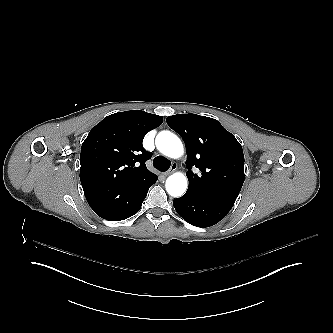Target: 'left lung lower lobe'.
I'll return each instance as SVG.
<instances>
[{
  "label": "left lung lower lobe",
  "instance_id": "0a47b994",
  "mask_svg": "<svg viewBox=\"0 0 333 333\" xmlns=\"http://www.w3.org/2000/svg\"><path fill=\"white\" fill-rule=\"evenodd\" d=\"M173 204L177 213L196 227H209L218 223L233 206L229 203L197 198L186 193L174 199Z\"/></svg>",
  "mask_w": 333,
  "mask_h": 333
}]
</instances>
